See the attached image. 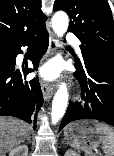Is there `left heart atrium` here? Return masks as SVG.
<instances>
[{"mask_svg":"<svg viewBox=\"0 0 114 156\" xmlns=\"http://www.w3.org/2000/svg\"><path fill=\"white\" fill-rule=\"evenodd\" d=\"M60 67L57 63H49L42 67L40 75L47 80L54 79L59 73Z\"/></svg>","mask_w":114,"mask_h":156,"instance_id":"left-heart-atrium-1","label":"left heart atrium"}]
</instances>
